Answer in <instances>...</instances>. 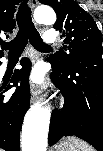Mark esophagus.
Returning a JSON list of instances; mask_svg holds the SVG:
<instances>
[{
  "mask_svg": "<svg viewBox=\"0 0 103 151\" xmlns=\"http://www.w3.org/2000/svg\"><path fill=\"white\" fill-rule=\"evenodd\" d=\"M29 5L34 8L37 5V0H29ZM40 89L32 86L31 88V103H35L39 99Z\"/></svg>",
  "mask_w": 103,
  "mask_h": 151,
  "instance_id": "obj_1",
  "label": "esophagus"
}]
</instances>
